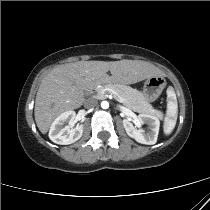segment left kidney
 Wrapping results in <instances>:
<instances>
[{
  "instance_id": "obj_1",
  "label": "left kidney",
  "mask_w": 210,
  "mask_h": 210,
  "mask_svg": "<svg viewBox=\"0 0 210 210\" xmlns=\"http://www.w3.org/2000/svg\"><path fill=\"white\" fill-rule=\"evenodd\" d=\"M137 124H147L149 130L145 132L143 129H136L128 120H123L126 133L141 144L153 145L157 142L160 121L157 116L150 114H139Z\"/></svg>"
}]
</instances>
